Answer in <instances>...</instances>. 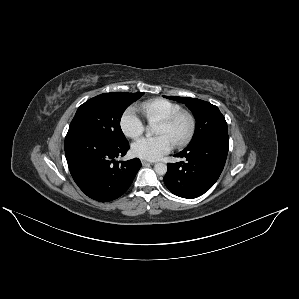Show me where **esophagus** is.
Segmentation results:
<instances>
[{"mask_svg":"<svg viewBox=\"0 0 299 299\" xmlns=\"http://www.w3.org/2000/svg\"><path fill=\"white\" fill-rule=\"evenodd\" d=\"M141 163H142V165H152V164H154L153 162H149V161H146V160H141Z\"/></svg>","mask_w":299,"mask_h":299,"instance_id":"obj_1","label":"esophagus"}]
</instances>
